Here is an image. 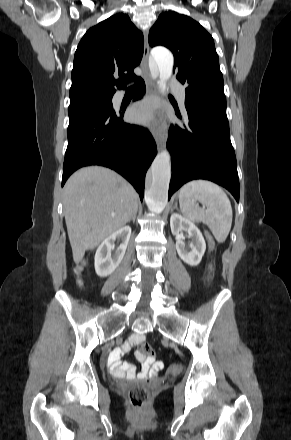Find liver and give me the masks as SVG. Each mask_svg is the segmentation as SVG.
I'll use <instances>...</instances> for the list:
<instances>
[{
  "instance_id": "obj_1",
  "label": "liver",
  "mask_w": 291,
  "mask_h": 440,
  "mask_svg": "<svg viewBox=\"0 0 291 440\" xmlns=\"http://www.w3.org/2000/svg\"><path fill=\"white\" fill-rule=\"evenodd\" d=\"M138 194L116 172L100 166L83 167L67 180L63 206L73 260L80 263L136 215Z\"/></svg>"
}]
</instances>
